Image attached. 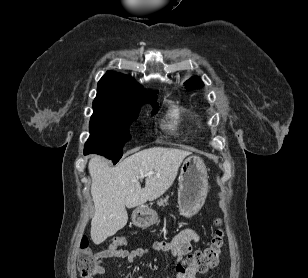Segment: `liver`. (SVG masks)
Wrapping results in <instances>:
<instances>
[{
	"label": "liver",
	"instance_id": "liver-1",
	"mask_svg": "<svg viewBox=\"0 0 308 278\" xmlns=\"http://www.w3.org/2000/svg\"><path fill=\"white\" fill-rule=\"evenodd\" d=\"M185 150L153 147L125 158L115 167L94 155L88 169L92 178L91 195L95 213L91 221V239L98 245L122 229L128 221L126 207L140 206L163 195L173 184ZM147 175L141 188L139 176Z\"/></svg>",
	"mask_w": 308,
	"mask_h": 278
}]
</instances>
